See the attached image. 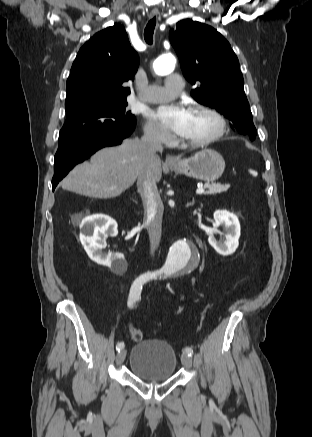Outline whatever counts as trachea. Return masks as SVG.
I'll use <instances>...</instances> for the list:
<instances>
[{"mask_svg": "<svg viewBox=\"0 0 312 437\" xmlns=\"http://www.w3.org/2000/svg\"><path fill=\"white\" fill-rule=\"evenodd\" d=\"M155 25H156V17L152 18L148 22L144 31L145 41L150 45L153 43V33H154Z\"/></svg>", "mask_w": 312, "mask_h": 437, "instance_id": "3493384b", "label": "trachea"}]
</instances>
